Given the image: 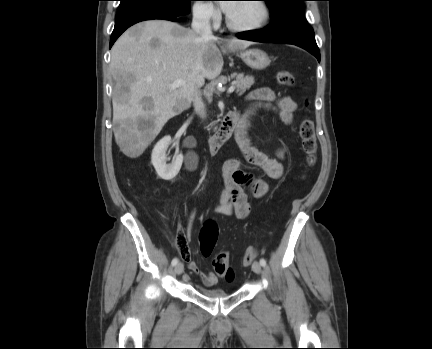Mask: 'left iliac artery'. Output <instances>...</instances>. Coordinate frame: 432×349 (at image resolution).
<instances>
[{
    "label": "left iliac artery",
    "instance_id": "1",
    "mask_svg": "<svg viewBox=\"0 0 432 349\" xmlns=\"http://www.w3.org/2000/svg\"><path fill=\"white\" fill-rule=\"evenodd\" d=\"M260 264L264 267L266 266V260L264 258L260 259Z\"/></svg>",
    "mask_w": 432,
    "mask_h": 349
}]
</instances>
